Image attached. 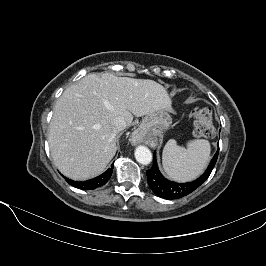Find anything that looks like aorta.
Here are the masks:
<instances>
[{
    "label": "aorta",
    "instance_id": "aorta-1",
    "mask_svg": "<svg viewBox=\"0 0 266 266\" xmlns=\"http://www.w3.org/2000/svg\"><path fill=\"white\" fill-rule=\"evenodd\" d=\"M136 160L143 165H148L152 161V153L145 146H138L135 150Z\"/></svg>",
    "mask_w": 266,
    "mask_h": 266
}]
</instances>
